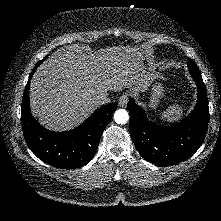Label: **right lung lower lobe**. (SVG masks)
Masks as SVG:
<instances>
[{"instance_id": "right-lung-lower-lobe-1", "label": "right lung lower lobe", "mask_w": 221, "mask_h": 221, "mask_svg": "<svg viewBox=\"0 0 221 221\" xmlns=\"http://www.w3.org/2000/svg\"><path fill=\"white\" fill-rule=\"evenodd\" d=\"M35 67L24 90L21 122L30 150L43 162L61 169H73L88 163L94 156L103 130L108 125L117 103L95 111L73 130L53 132L42 127L32 116L29 106V87Z\"/></svg>"}]
</instances>
